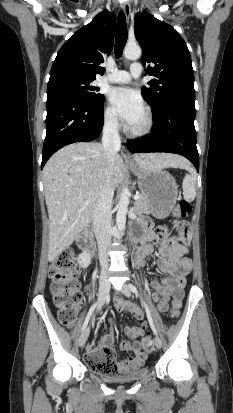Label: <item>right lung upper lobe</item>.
<instances>
[{"instance_id": "right-lung-upper-lobe-1", "label": "right lung upper lobe", "mask_w": 233, "mask_h": 413, "mask_svg": "<svg viewBox=\"0 0 233 413\" xmlns=\"http://www.w3.org/2000/svg\"><path fill=\"white\" fill-rule=\"evenodd\" d=\"M116 18L105 10L75 32L59 50L49 81L63 77L95 79L103 74L99 64L113 47Z\"/></svg>"}]
</instances>
